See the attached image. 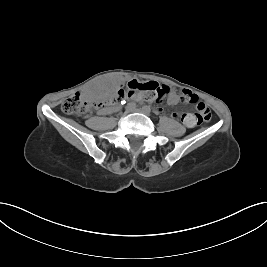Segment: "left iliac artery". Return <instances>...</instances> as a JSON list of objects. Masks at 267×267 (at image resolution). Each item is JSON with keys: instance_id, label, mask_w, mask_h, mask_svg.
<instances>
[{"instance_id": "44dca946", "label": "left iliac artery", "mask_w": 267, "mask_h": 267, "mask_svg": "<svg viewBox=\"0 0 267 267\" xmlns=\"http://www.w3.org/2000/svg\"><path fill=\"white\" fill-rule=\"evenodd\" d=\"M144 109H146L147 111L151 112V108L149 106H144Z\"/></svg>"}]
</instances>
